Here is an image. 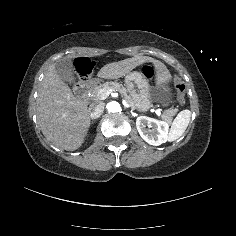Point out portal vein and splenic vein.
Masks as SVG:
<instances>
[{"instance_id": "18ae733b", "label": "portal vein and splenic vein", "mask_w": 236, "mask_h": 236, "mask_svg": "<svg viewBox=\"0 0 236 236\" xmlns=\"http://www.w3.org/2000/svg\"><path fill=\"white\" fill-rule=\"evenodd\" d=\"M111 92H112V89H102L101 95L103 98H106L110 95ZM123 105L125 106V108L133 109V106H130L126 101L123 102ZM155 113L157 116L161 115V111L159 109H155Z\"/></svg>"}]
</instances>
